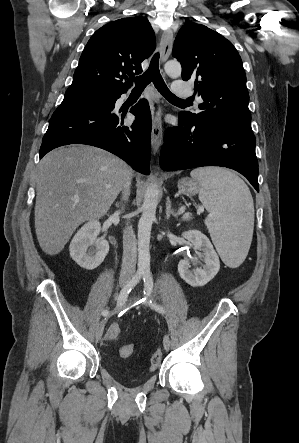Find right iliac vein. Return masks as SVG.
Returning <instances> with one entry per match:
<instances>
[{"mask_svg": "<svg viewBox=\"0 0 299 443\" xmlns=\"http://www.w3.org/2000/svg\"><path fill=\"white\" fill-rule=\"evenodd\" d=\"M129 279H130L129 276H122L119 280L120 286L124 287L128 283ZM104 326H105V320H102L96 327L95 338H96L97 342L100 341V339L102 337V334L104 331Z\"/></svg>", "mask_w": 299, "mask_h": 443, "instance_id": "obj_1", "label": "right iliac vein"}]
</instances>
